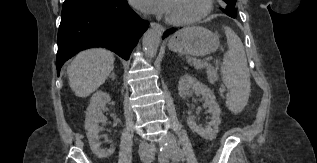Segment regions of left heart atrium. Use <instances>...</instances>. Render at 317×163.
Returning <instances> with one entry per match:
<instances>
[{
	"label": "left heart atrium",
	"instance_id": "left-heart-atrium-1",
	"mask_svg": "<svg viewBox=\"0 0 317 163\" xmlns=\"http://www.w3.org/2000/svg\"><path fill=\"white\" fill-rule=\"evenodd\" d=\"M133 5L143 11L158 15H167L172 0H131Z\"/></svg>",
	"mask_w": 317,
	"mask_h": 163
}]
</instances>
